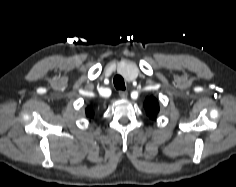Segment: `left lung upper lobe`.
I'll list each match as a JSON object with an SVG mask.
<instances>
[{
	"instance_id": "5c2ea615",
	"label": "left lung upper lobe",
	"mask_w": 236,
	"mask_h": 187,
	"mask_svg": "<svg viewBox=\"0 0 236 187\" xmlns=\"http://www.w3.org/2000/svg\"><path fill=\"white\" fill-rule=\"evenodd\" d=\"M144 107L147 111V115L151 119H155L157 116V113L159 112L158 100L154 97H150V98L146 99V101L144 103Z\"/></svg>"
}]
</instances>
